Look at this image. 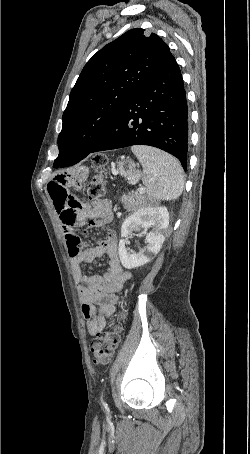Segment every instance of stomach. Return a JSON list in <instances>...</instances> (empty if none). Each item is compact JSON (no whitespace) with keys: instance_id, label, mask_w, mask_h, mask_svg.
I'll list each match as a JSON object with an SVG mask.
<instances>
[{"instance_id":"0dacf381","label":"stomach","mask_w":250,"mask_h":454,"mask_svg":"<svg viewBox=\"0 0 250 454\" xmlns=\"http://www.w3.org/2000/svg\"><path fill=\"white\" fill-rule=\"evenodd\" d=\"M117 173L126 177L130 183H136L140 178V173L135 169V164L131 160H123L117 164Z\"/></svg>"}]
</instances>
